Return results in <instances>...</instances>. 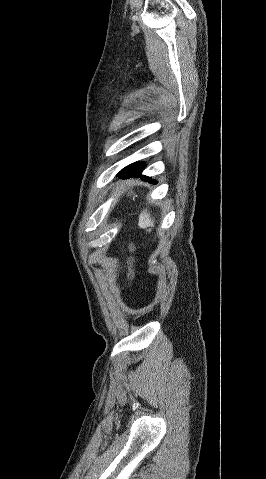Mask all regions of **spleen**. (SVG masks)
Here are the masks:
<instances>
[{"label":"spleen","mask_w":266,"mask_h":479,"mask_svg":"<svg viewBox=\"0 0 266 479\" xmlns=\"http://www.w3.org/2000/svg\"><path fill=\"white\" fill-rule=\"evenodd\" d=\"M138 225L140 228L146 229L149 228L147 231L150 232V227H154V220L150 217V213L147 210H143L139 216Z\"/></svg>","instance_id":"1"}]
</instances>
